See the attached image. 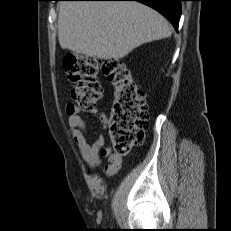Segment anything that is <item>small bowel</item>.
Wrapping results in <instances>:
<instances>
[{
    "mask_svg": "<svg viewBox=\"0 0 231 231\" xmlns=\"http://www.w3.org/2000/svg\"><path fill=\"white\" fill-rule=\"evenodd\" d=\"M66 111L73 141L77 145L83 160L90 166L95 167L103 157H107L109 164L105 167V174L107 176L115 174L121 166V158L105 146L102 135L96 136L92 141L87 138L86 124L77 106L70 104ZM93 114L101 122L102 127L106 128L108 119L105 114L98 110H94Z\"/></svg>",
    "mask_w": 231,
    "mask_h": 231,
    "instance_id": "c3829d8e",
    "label": "small bowel"
}]
</instances>
